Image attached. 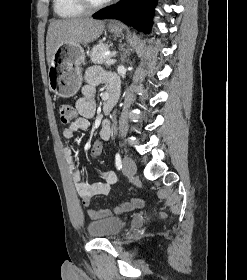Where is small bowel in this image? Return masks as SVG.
I'll return each instance as SVG.
<instances>
[{
  "label": "small bowel",
  "mask_w": 247,
  "mask_h": 280,
  "mask_svg": "<svg viewBox=\"0 0 247 280\" xmlns=\"http://www.w3.org/2000/svg\"><path fill=\"white\" fill-rule=\"evenodd\" d=\"M85 80L86 85L82 87V95L76 102V110L79 117L63 130V136L66 139L74 138L78 131L89 127L90 119L94 116L96 110V86L103 81H107L109 88L118 87L116 78L111 74L105 73L100 67L89 68L86 71ZM99 134L104 141L109 140L111 136V126L109 121L103 122ZM64 154L69 165L76 191L84 206L90 205L94 196L107 195L110 193L111 186L116 183V175L114 172L103 171L99 175L100 181L91 183L84 178L72 149L68 146L65 147ZM142 205L143 201L141 199L134 198L116 206L113 210L109 208L89 209L88 216L93 220H97L108 217L113 212L121 214L139 208Z\"/></svg>",
  "instance_id": "c3829d8e"
}]
</instances>
